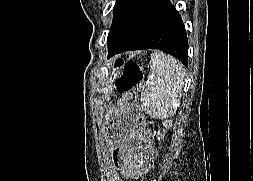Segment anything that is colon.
<instances>
[{
	"instance_id": "colon-1",
	"label": "colon",
	"mask_w": 253,
	"mask_h": 181,
	"mask_svg": "<svg viewBox=\"0 0 253 181\" xmlns=\"http://www.w3.org/2000/svg\"><path fill=\"white\" fill-rule=\"evenodd\" d=\"M117 66H122L121 62H116ZM143 81L142 67L134 61L123 64V73L117 80V88L120 92L139 93Z\"/></svg>"
}]
</instances>
